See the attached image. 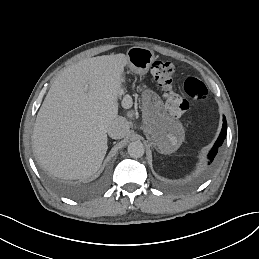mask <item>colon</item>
I'll return each mask as SVG.
<instances>
[{"instance_id":"5ec220e1","label":"colon","mask_w":259,"mask_h":259,"mask_svg":"<svg viewBox=\"0 0 259 259\" xmlns=\"http://www.w3.org/2000/svg\"><path fill=\"white\" fill-rule=\"evenodd\" d=\"M151 74L156 84L162 89L166 107L173 117L180 118L189 111V102L186 97L197 101L207 98L208 89L196 75L188 77L183 84L186 97L176 92L173 88L176 68L171 62L155 61L151 67Z\"/></svg>"}]
</instances>
